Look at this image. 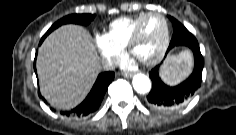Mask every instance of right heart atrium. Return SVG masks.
Masks as SVG:
<instances>
[{
    "mask_svg": "<svg viewBox=\"0 0 236 135\" xmlns=\"http://www.w3.org/2000/svg\"><path fill=\"white\" fill-rule=\"evenodd\" d=\"M94 43L107 65H111L122 54V48L112 43L106 34H95Z\"/></svg>",
    "mask_w": 236,
    "mask_h": 135,
    "instance_id": "d8ad5b80",
    "label": "right heart atrium"
}]
</instances>
